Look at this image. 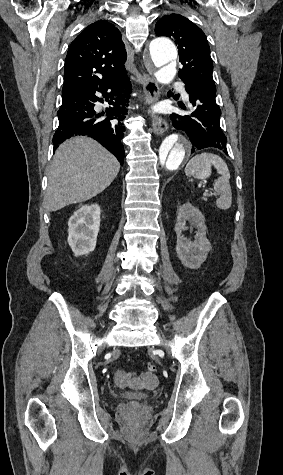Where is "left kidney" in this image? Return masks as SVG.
Segmentation results:
<instances>
[{"instance_id":"5707ae66","label":"left kidney","mask_w":283,"mask_h":475,"mask_svg":"<svg viewBox=\"0 0 283 475\" xmlns=\"http://www.w3.org/2000/svg\"><path fill=\"white\" fill-rule=\"evenodd\" d=\"M186 220H192L193 224L198 228V232H196L193 241L185 238L182 234L183 230H187L185 226ZM174 230L177 234V257L181 259L183 265H186V267L198 269L201 263L205 261L208 251L212 249L209 239L206 238L207 228L205 226L204 216H202L198 208H194L192 204L187 202V204H183V206L179 208Z\"/></svg>"}]
</instances>
